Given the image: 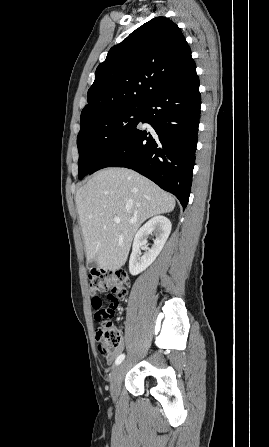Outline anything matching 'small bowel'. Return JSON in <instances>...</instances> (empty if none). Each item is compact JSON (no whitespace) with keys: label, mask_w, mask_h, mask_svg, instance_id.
<instances>
[{"label":"small bowel","mask_w":269,"mask_h":447,"mask_svg":"<svg viewBox=\"0 0 269 447\" xmlns=\"http://www.w3.org/2000/svg\"><path fill=\"white\" fill-rule=\"evenodd\" d=\"M122 349H123V344L121 345V347H120L116 352H114L113 354L109 355V356L106 358L107 363H108V364H112L113 361L115 360V358L120 354V352L122 351Z\"/></svg>","instance_id":"1"}]
</instances>
